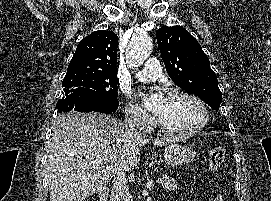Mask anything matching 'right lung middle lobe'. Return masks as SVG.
<instances>
[{"label":"right lung middle lobe","mask_w":271,"mask_h":201,"mask_svg":"<svg viewBox=\"0 0 271 201\" xmlns=\"http://www.w3.org/2000/svg\"><path fill=\"white\" fill-rule=\"evenodd\" d=\"M117 75L73 71L63 79V97H81L88 100L115 101L118 97Z\"/></svg>","instance_id":"dd1d6c3e"}]
</instances>
